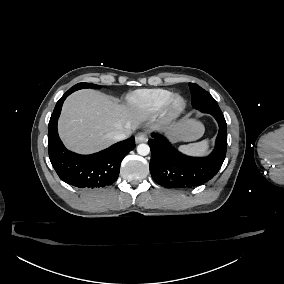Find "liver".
<instances>
[{"instance_id": "liver-1", "label": "liver", "mask_w": 284, "mask_h": 284, "mask_svg": "<svg viewBox=\"0 0 284 284\" xmlns=\"http://www.w3.org/2000/svg\"><path fill=\"white\" fill-rule=\"evenodd\" d=\"M145 118L137 107L118 104L99 91L84 89L74 92L64 102L58 131L67 148L92 153L115 143L114 136L118 133L130 135ZM152 128L158 129V125ZM169 129L182 130L186 141L199 139L205 131L200 121L187 118Z\"/></svg>"}]
</instances>
